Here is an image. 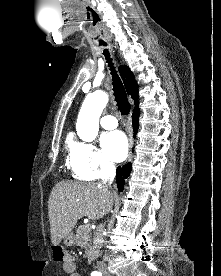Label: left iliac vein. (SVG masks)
I'll list each match as a JSON object with an SVG mask.
<instances>
[{
  "mask_svg": "<svg viewBox=\"0 0 221 276\" xmlns=\"http://www.w3.org/2000/svg\"><path fill=\"white\" fill-rule=\"evenodd\" d=\"M106 276H110L108 273H105Z\"/></svg>",
  "mask_w": 221,
  "mask_h": 276,
  "instance_id": "obj_1",
  "label": "left iliac vein"
}]
</instances>
